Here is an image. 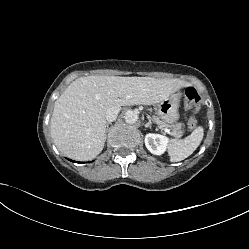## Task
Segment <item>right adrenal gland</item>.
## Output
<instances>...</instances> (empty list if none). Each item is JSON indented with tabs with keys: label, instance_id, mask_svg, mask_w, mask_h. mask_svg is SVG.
Segmentation results:
<instances>
[{
	"label": "right adrenal gland",
	"instance_id": "1",
	"mask_svg": "<svg viewBox=\"0 0 249 249\" xmlns=\"http://www.w3.org/2000/svg\"><path fill=\"white\" fill-rule=\"evenodd\" d=\"M112 124V122H108L106 125V132L108 131L109 125Z\"/></svg>",
	"mask_w": 249,
	"mask_h": 249
}]
</instances>
